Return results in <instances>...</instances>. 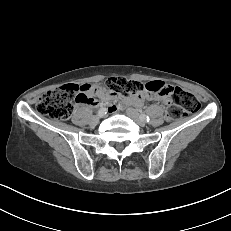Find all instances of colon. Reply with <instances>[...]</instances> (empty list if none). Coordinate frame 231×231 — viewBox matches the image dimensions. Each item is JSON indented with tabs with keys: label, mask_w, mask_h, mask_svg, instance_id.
<instances>
[{
	"label": "colon",
	"mask_w": 231,
	"mask_h": 231,
	"mask_svg": "<svg viewBox=\"0 0 231 231\" xmlns=\"http://www.w3.org/2000/svg\"><path fill=\"white\" fill-rule=\"evenodd\" d=\"M105 87L108 91L119 93L126 98L135 97L143 90L152 96L168 93L171 96L166 109V117L169 120H178L186 113L196 112L200 108L198 99L192 93L162 81L143 84L122 77H111L106 81ZM85 100L86 97L78 85L67 84L42 95L36 108L40 114L54 120H65L72 112L73 102L84 103Z\"/></svg>",
	"instance_id": "1"
}]
</instances>
